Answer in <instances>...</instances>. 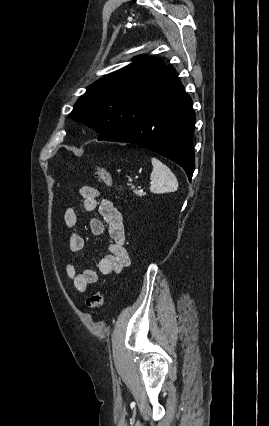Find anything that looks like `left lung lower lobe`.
<instances>
[{
	"label": "left lung lower lobe",
	"instance_id": "1",
	"mask_svg": "<svg viewBox=\"0 0 269 426\" xmlns=\"http://www.w3.org/2000/svg\"><path fill=\"white\" fill-rule=\"evenodd\" d=\"M195 113L176 71L165 66L133 95L114 133L106 141L134 143L180 165L191 181Z\"/></svg>",
	"mask_w": 269,
	"mask_h": 426
}]
</instances>
